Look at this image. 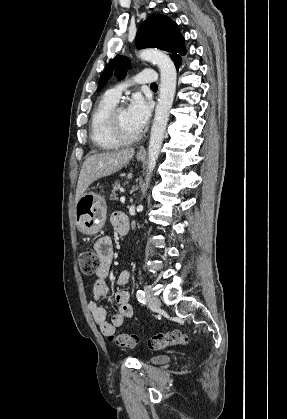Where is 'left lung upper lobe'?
<instances>
[{"instance_id":"left-lung-upper-lobe-1","label":"left lung upper lobe","mask_w":287,"mask_h":419,"mask_svg":"<svg viewBox=\"0 0 287 419\" xmlns=\"http://www.w3.org/2000/svg\"><path fill=\"white\" fill-rule=\"evenodd\" d=\"M136 45L138 49L158 48L166 51L171 56L177 69L182 61L180 55L186 53L184 38L179 32L178 25L162 14L152 15L142 22L137 32ZM129 64L127 57H120L119 55L111 60L100 77L97 92L104 87L114 71L120 79L123 78L126 74L125 68Z\"/></svg>"}]
</instances>
